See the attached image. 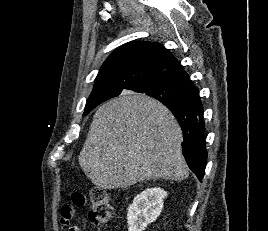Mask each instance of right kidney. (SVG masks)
I'll return each instance as SVG.
<instances>
[{"label":"right kidney","mask_w":268,"mask_h":231,"mask_svg":"<svg viewBox=\"0 0 268 231\" xmlns=\"http://www.w3.org/2000/svg\"><path fill=\"white\" fill-rule=\"evenodd\" d=\"M166 197L167 192L159 187L148 188L137 195L128 208V231H143L154 222L162 212Z\"/></svg>","instance_id":"1"}]
</instances>
